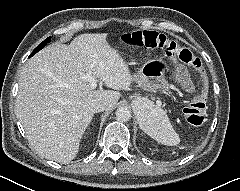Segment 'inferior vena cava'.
<instances>
[{
	"label": "inferior vena cava",
	"mask_w": 240,
	"mask_h": 191,
	"mask_svg": "<svg viewBox=\"0 0 240 191\" xmlns=\"http://www.w3.org/2000/svg\"><path fill=\"white\" fill-rule=\"evenodd\" d=\"M107 109V104L103 102H98L93 105V111L94 112H102Z\"/></svg>",
	"instance_id": "602c4592"
}]
</instances>
